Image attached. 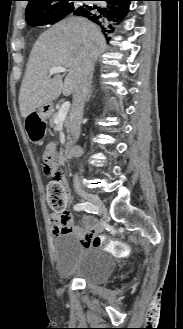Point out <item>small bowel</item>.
<instances>
[{
  "instance_id": "1",
  "label": "small bowel",
  "mask_w": 183,
  "mask_h": 329,
  "mask_svg": "<svg viewBox=\"0 0 183 329\" xmlns=\"http://www.w3.org/2000/svg\"><path fill=\"white\" fill-rule=\"evenodd\" d=\"M45 157H50L54 165L58 167L59 161L54 153V145L50 144L47 146L44 152V158ZM49 219L55 236L65 232H71L78 237L82 247H96L93 244V239L101 231V226L94 219H81V226H77L74 223L73 217L69 212H67L65 217H58L54 214H50Z\"/></svg>"
}]
</instances>
